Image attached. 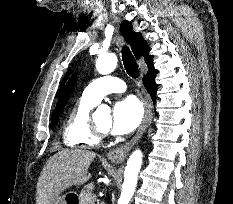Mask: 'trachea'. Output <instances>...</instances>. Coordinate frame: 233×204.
Instances as JSON below:
<instances>
[{"label": "trachea", "instance_id": "obj_1", "mask_svg": "<svg viewBox=\"0 0 233 204\" xmlns=\"http://www.w3.org/2000/svg\"><path fill=\"white\" fill-rule=\"evenodd\" d=\"M122 58L126 72L132 78H137L139 74L138 65L134 56L129 51L128 47L122 49Z\"/></svg>", "mask_w": 233, "mask_h": 204}]
</instances>
